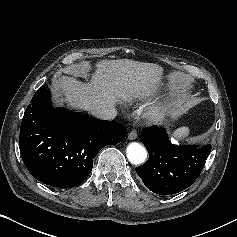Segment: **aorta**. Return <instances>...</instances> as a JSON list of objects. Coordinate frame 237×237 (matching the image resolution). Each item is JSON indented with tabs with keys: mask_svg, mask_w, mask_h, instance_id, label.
<instances>
[{
	"mask_svg": "<svg viewBox=\"0 0 237 237\" xmlns=\"http://www.w3.org/2000/svg\"><path fill=\"white\" fill-rule=\"evenodd\" d=\"M127 158L134 165L143 164L147 158L145 147L137 142H132L126 149Z\"/></svg>",
	"mask_w": 237,
	"mask_h": 237,
	"instance_id": "obj_1",
	"label": "aorta"
}]
</instances>
